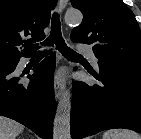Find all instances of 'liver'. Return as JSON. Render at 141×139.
<instances>
[{"label": "liver", "instance_id": "6515ba94", "mask_svg": "<svg viewBox=\"0 0 141 139\" xmlns=\"http://www.w3.org/2000/svg\"><path fill=\"white\" fill-rule=\"evenodd\" d=\"M24 126L10 118L0 116V139H16Z\"/></svg>", "mask_w": 141, "mask_h": 139}]
</instances>
